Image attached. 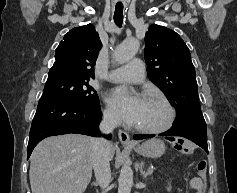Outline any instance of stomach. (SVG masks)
I'll return each instance as SVG.
<instances>
[{
    "instance_id": "0dacf381",
    "label": "stomach",
    "mask_w": 237,
    "mask_h": 193,
    "mask_svg": "<svg viewBox=\"0 0 237 193\" xmlns=\"http://www.w3.org/2000/svg\"><path fill=\"white\" fill-rule=\"evenodd\" d=\"M133 148L138 154L150 158H158L165 152L164 142L157 138L147 140L143 144L137 145Z\"/></svg>"
}]
</instances>
